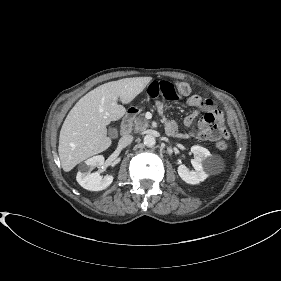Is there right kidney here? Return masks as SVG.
Wrapping results in <instances>:
<instances>
[{
	"label": "right kidney",
	"instance_id": "ca27d5eb",
	"mask_svg": "<svg viewBox=\"0 0 281 281\" xmlns=\"http://www.w3.org/2000/svg\"><path fill=\"white\" fill-rule=\"evenodd\" d=\"M103 164L104 157L102 155L94 156L82 163L79 166V171L76 176V180L80 186L90 191H101L110 186L114 179L112 175H106L102 178L99 173L91 172L95 167H99Z\"/></svg>",
	"mask_w": 281,
	"mask_h": 281
}]
</instances>
